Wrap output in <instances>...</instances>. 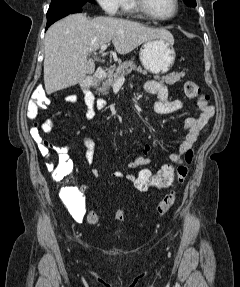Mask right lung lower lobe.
<instances>
[{"label":"right lung lower lobe","mask_w":240,"mask_h":287,"mask_svg":"<svg viewBox=\"0 0 240 287\" xmlns=\"http://www.w3.org/2000/svg\"><path fill=\"white\" fill-rule=\"evenodd\" d=\"M82 12V7H76V8H72V9H68V10H63V11H59L56 12L54 14H51L50 16L47 17V26L46 29L53 24L55 21L69 15V14H73V13H80Z\"/></svg>","instance_id":"obj_1"}]
</instances>
